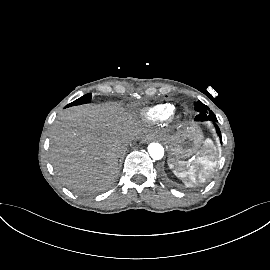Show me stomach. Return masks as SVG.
<instances>
[{
  "instance_id": "0dacf381",
  "label": "stomach",
  "mask_w": 270,
  "mask_h": 270,
  "mask_svg": "<svg viewBox=\"0 0 270 270\" xmlns=\"http://www.w3.org/2000/svg\"><path fill=\"white\" fill-rule=\"evenodd\" d=\"M202 132L195 125H186L172 135L165 137V143L170 153L168 165L176 176L184 170V159L195 154L202 142Z\"/></svg>"
}]
</instances>
